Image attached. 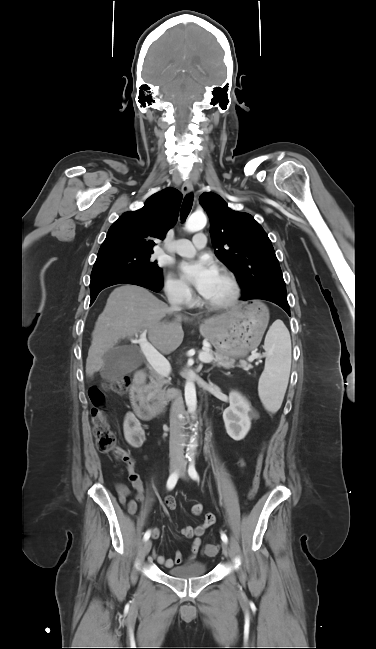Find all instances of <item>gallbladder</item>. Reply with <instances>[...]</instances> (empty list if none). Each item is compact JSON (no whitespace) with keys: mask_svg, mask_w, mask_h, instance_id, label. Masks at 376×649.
Segmentation results:
<instances>
[{"mask_svg":"<svg viewBox=\"0 0 376 649\" xmlns=\"http://www.w3.org/2000/svg\"><path fill=\"white\" fill-rule=\"evenodd\" d=\"M137 352L127 345H115L104 355V366L100 370L104 380H114L137 368Z\"/></svg>","mask_w":376,"mask_h":649,"instance_id":"1","label":"gallbladder"}]
</instances>
